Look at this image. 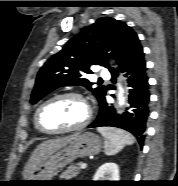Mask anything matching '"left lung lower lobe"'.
Wrapping results in <instances>:
<instances>
[{
	"instance_id": "1",
	"label": "left lung lower lobe",
	"mask_w": 178,
	"mask_h": 186,
	"mask_svg": "<svg viewBox=\"0 0 178 186\" xmlns=\"http://www.w3.org/2000/svg\"><path fill=\"white\" fill-rule=\"evenodd\" d=\"M121 72L125 73L124 76L127 78L130 87L129 106L122 115L116 114L113 104L106 101L105 93L100 101V112L89 127L111 126L122 128L132 133L139 144L143 146L150 100L144 54L129 63ZM116 77L117 74L112 75V80L115 81Z\"/></svg>"
}]
</instances>
